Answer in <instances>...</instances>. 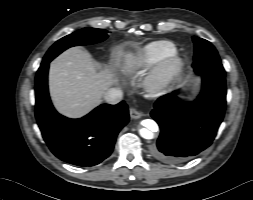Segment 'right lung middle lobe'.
Wrapping results in <instances>:
<instances>
[{"instance_id": "obj_1", "label": "right lung middle lobe", "mask_w": 253, "mask_h": 200, "mask_svg": "<svg viewBox=\"0 0 253 200\" xmlns=\"http://www.w3.org/2000/svg\"><path fill=\"white\" fill-rule=\"evenodd\" d=\"M107 37V31L104 29L84 28L78 30L63 37L52 45L43 60L54 59L69 47L98 43L105 40Z\"/></svg>"}]
</instances>
